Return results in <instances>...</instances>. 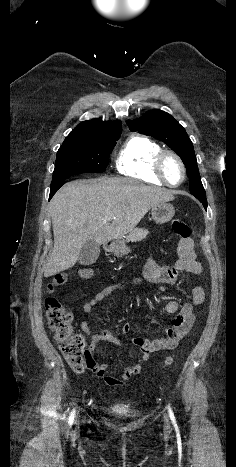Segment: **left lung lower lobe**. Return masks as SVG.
Returning a JSON list of instances; mask_svg holds the SVG:
<instances>
[{
	"mask_svg": "<svg viewBox=\"0 0 236 467\" xmlns=\"http://www.w3.org/2000/svg\"><path fill=\"white\" fill-rule=\"evenodd\" d=\"M204 206L205 210H207V199L206 195H194Z\"/></svg>",
	"mask_w": 236,
	"mask_h": 467,
	"instance_id": "left-lung-lower-lobe-1",
	"label": "left lung lower lobe"
}]
</instances>
